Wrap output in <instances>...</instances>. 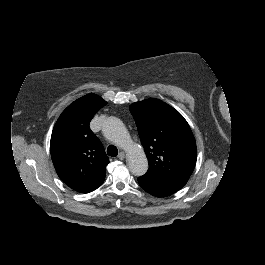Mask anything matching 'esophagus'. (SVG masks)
<instances>
[{
  "label": "esophagus",
  "instance_id": "34e87169",
  "mask_svg": "<svg viewBox=\"0 0 265 265\" xmlns=\"http://www.w3.org/2000/svg\"><path fill=\"white\" fill-rule=\"evenodd\" d=\"M124 158H125L124 152H120L118 155V159L122 161V160H124Z\"/></svg>",
  "mask_w": 265,
  "mask_h": 265
}]
</instances>
